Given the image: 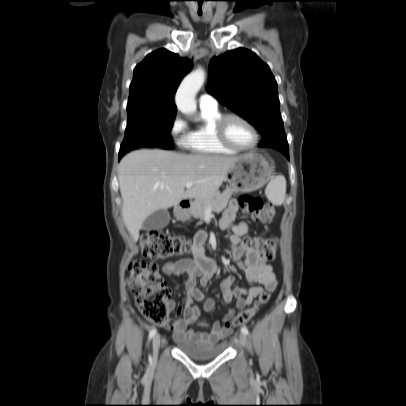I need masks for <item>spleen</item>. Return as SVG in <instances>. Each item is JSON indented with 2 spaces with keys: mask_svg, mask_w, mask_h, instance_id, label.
<instances>
[{
  "mask_svg": "<svg viewBox=\"0 0 406 406\" xmlns=\"http://www.w3.org/2000/svg\"><path fill=\"white\" fill-rule=\"evenodd\" d=\"M266 196L274 205H281L286 195V179L283 175L275 176L266 187Z\"/></svg>",
  "mask_w": 406,
  "mask_h": 406,
  "instance_id": "obj_1",
  "label": "spleen"
}]
</instances>
